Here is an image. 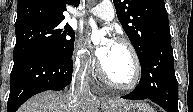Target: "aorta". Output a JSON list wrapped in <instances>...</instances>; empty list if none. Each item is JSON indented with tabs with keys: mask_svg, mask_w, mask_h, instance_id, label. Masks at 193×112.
<instances>
[{
	"mask_svg": "<svg viewBox=\"0 0 193 112\" xmlns=\"http://www.w3.org/2000/svg\"><path fill=\"white\" fill-rule=\"evenodd\" d=\"M89 22L92 27L91 40L94 44H98L100 40L103 38V36L105 35V31L98 30L96 27V23L92 18H90Z\"/></svg>",
	"mask_w": 193,
	"mask_h": 112,
	"instance_id": "aorta-1",
	"label": "aorta"
}]
</instances>
